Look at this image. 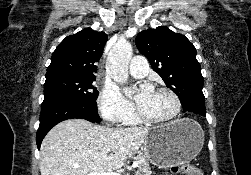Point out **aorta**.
Returning <instances> with one entry per match:
<instances>
[{
	"instance_id": "762f6f07",
	"label": "aorta",
	"mask_w": 251,
	"mask_h": 175,
	"mask_svg": "<svg viewBox=\"0 0 251 175\" xmlns=\"http://www.w3.org/2000/svg\"><path fill=\"white\" fill-rule=\"evenodd\" d=\"M132 58V46L129 42H117L110 50L106 60V72L114 82L126 84L128 68Z\"/></svg>"
}]
</instances>
